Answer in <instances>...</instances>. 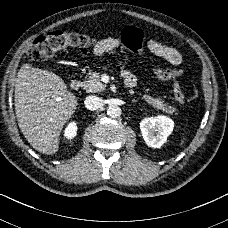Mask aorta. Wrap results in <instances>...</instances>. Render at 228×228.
Here are the masks:
<instances>
[{"mask_svg": "<svg viewBox=\"0 0 228 228\" xmlns=\"http://www.w3.org/2000/svg\"><path fill=\"white\" fill-rule=\"evenodd\" d=\"M122 113L121 108L118 105H111L107 109V115L111 118H117Z\"/></svg>", "mask_w": 228, "mask_h": 228, "instance_id": "762f6f07", "label": "aorta"}]
</instances>
